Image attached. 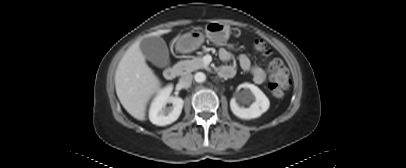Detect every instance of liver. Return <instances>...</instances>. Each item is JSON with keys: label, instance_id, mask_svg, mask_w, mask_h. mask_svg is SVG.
<instances>
[{"label": "liver", "instance_id": "1", "mask_svg": "<svg viewBox=\"0 0 406 168\" xmlns=\"http://www.w3.org/2000/svg\"><path fill=\"white\" fill-rule=\"evenodd\" d=\"M171 29L158 30L148 36H160ZM117 96L125 110L140 121L146 119V107L153 95L160 91L161 82L147 65L140 49V41L131 45L120 60L115 72Z\"/></svg>", "mask_w": 406, "mask_h": 168}]
</instances>
